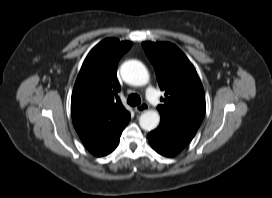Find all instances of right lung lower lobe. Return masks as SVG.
Wrapping results in <instances>:
<instances>
[{
  "label": "right lung lower lobe",
  "mask_w": 272,
  "mask_h": 198,
  "mask_svg": "<svg viewBox=\"0 0 272 198\" xmlns=\"http://www.w3.org/2000/svg\"><path fill=\"white\" fill-rule=\"evenodd\" d=\"M130 115L118 124L101 142L87 148L95 156L101 157L111 153L118 145L120 135L128 124Z\"/></svg>",
  "instance_id": "1"
}]
</instances>
